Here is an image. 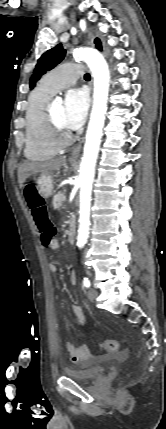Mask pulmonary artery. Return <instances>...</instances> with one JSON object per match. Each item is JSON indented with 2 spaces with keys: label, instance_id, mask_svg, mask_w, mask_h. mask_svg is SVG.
Masks as SVG:
<instances>
[{
  "label": "pulmonary artery",
  "instance_id": "e3ab8cb5",
  "mask_svg": "<svg viewBox=\"0 0 166 429\" xmlns=\"http://www.w3.org/2000/svg\"><path fill=\"white\" fill-rule=\"evenodd\" d=\"M84 73V65L79 62L64 64L49 74L40 82V87L52 94L73 84Z\"/></svg>",
  "mask_w": 166,
  "mask_h": 429
}]
</instances>
